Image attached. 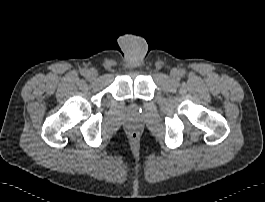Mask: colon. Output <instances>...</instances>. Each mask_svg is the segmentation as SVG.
<instances>
[{"instance_id":"obj_1","label":"colon","mask_w":265,"mask_h":202,"mask_svg":"<svg viewBox=\"0 0 265 202\" xmlns=\"http://www.w3.org/2000/svg\"><path fill=\"white\" fill-rule=\"evenodd\" d=\"M131 139L137 141L139 139V135L135 132L131 133Z\"/></svg>"}]
</instances>
